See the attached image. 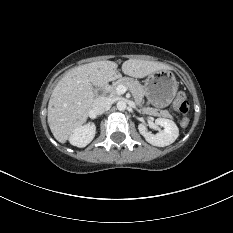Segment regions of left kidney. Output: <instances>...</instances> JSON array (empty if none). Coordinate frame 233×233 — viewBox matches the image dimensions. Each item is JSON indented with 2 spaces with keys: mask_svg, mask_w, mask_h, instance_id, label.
Masks as SVG:
<instances>
[{
  "mask_svg": "<svg viewBox=\"0 0 233 233\" xmlns=\"http://www.w3.org/2000/svg\"><path fill=\"white\" fill-rule=\"evenodd\" d=\"M155 124L163 127L164 129L157 134H152L147 131L146 125H138L139 132L144 136L148 143L154 146L164 147L172 144L179 136L178 127L172 120L157 118L155 120Z\"/></svg>",
  "mask_w": 233,
  "mask_h": 233,
  "instance_id": "obj_1",
  "label": "left kidney"
}]
</instances>
